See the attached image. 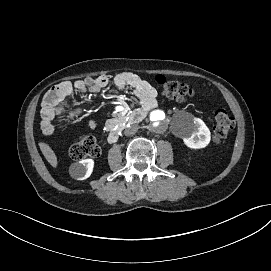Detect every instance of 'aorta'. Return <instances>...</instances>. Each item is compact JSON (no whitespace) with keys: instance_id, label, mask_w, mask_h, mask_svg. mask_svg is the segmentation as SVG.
<instances>
[{"instance_id":"1","label":"aorta","mask_w":271,"mask_h":271,"mask_svg":"<svg viewBox=\"0 0 271 271\" xmlns=\"http://www.w3.org/2000/svg\"><path fill=\"white\" fill-rule=\"evenodd\" d=\"M144 115L148 129L153 133L165 132L168 128V114L160 108H145Z\"/></svg>"}]
</instances>
